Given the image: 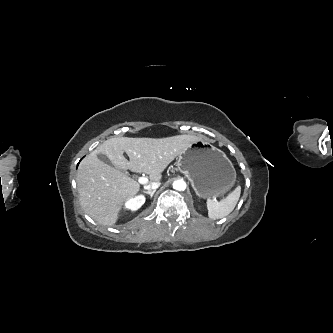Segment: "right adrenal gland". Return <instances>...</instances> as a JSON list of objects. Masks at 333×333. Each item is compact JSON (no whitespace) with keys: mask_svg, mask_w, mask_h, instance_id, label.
I'll use <instances>...</instances> for the list:
<instances>
[{"mask_svg":"<svg viewBox=\"0 0 333 333\" xmlns=\"http://www.w3.org/2000/svg\"><path fill=\"white\" fill-rule=\"evenodd\" d=\"M155 192H156V190H152V191H143V193L150 195V198H151V199H152V197H153V195H154Z\"/></svg>","mask_w":333,"mask_h":333,"instance_id":"2a0ac1e0","label":"right adrenal gland"}]
</instances>
